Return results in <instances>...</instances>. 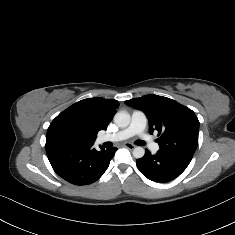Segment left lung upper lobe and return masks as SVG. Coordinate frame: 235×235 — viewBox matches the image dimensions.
I'll return each instance as SVG.
<instances>
[{"mask_svg": "<svg viewBox=\"0 0 235 235\" xmlns=\"http://www.w3.org/2000/svg\"><path fill=\"white\" fill-rule=\"evenodd\" d=\"M128 106L145 112L150 134L158 131L160 150L193 157L198 146L199 120L195 113L167 97L145 95L125 101Z\"/></svg>", "mask_w": 235, "mask_h": 235, "instance_id": "1", "label": "left lung upper lobe"}]
</instances>
